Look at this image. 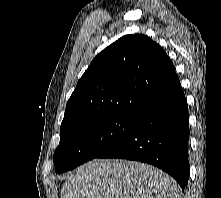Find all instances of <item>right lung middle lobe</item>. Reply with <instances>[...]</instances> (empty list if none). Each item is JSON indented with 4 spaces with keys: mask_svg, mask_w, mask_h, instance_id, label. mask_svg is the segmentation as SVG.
<instances>
[{
    "mask_svg": "<svg viewBox=\"0 0 221 198\" xmlns=\"http://www.w3.org/2000/svg\"><path fill=\"white\" fill-rule=\"evenodd\" d=\"M139 119L131 114L110 115L60 135L53 157L55 172L63 173L96 158L127 135Z\"/></svg>",
    "mask_w": 221,
    "mask_h": 198,
    "instance_id": "obj_1",
    "label": "right lung middle lobe"
}]
</instances>
